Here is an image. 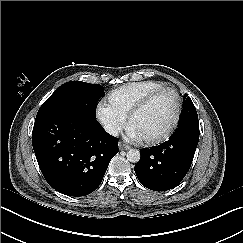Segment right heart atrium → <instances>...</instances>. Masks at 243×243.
I'll return each mask as SVG.
<instances>
[{"instance_id":"d8ad5b80","label":"right heart atrium","mask_w":243,"mask_h":243,"mask_svg":"<svg viewBox=\"0 0 243 243\" xmlns=\"http://www.w3.org/2000/svg\"><path fill=\"white\" fill-rule=\"evenodd\" d=\"M96 116L104 128L112 134L119 132L124 125L123 118L105 103L98 106Z\"/></svg>"}]
</instances>
